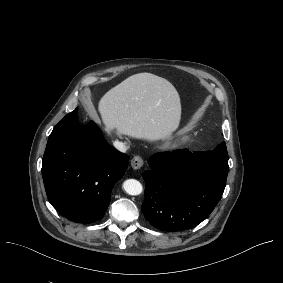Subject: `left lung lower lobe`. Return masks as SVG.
<instances>
[{"label":"left lung lower lobe","instance_id":"obj_1","mask_svg":"<svg viewBox=\"0 0 283 283\" xmlns=\"http://www.w3.org/2000/svg\"><path fill=\"white\" fill-rule=\"evenodd\" d=\"M149 165L141 210L163 231L187 230L205 220L222 197L229 170L225 142L211 151L155 153Z\"/></svg>","mask_w":283,"mask_h":283}]
</instances>
